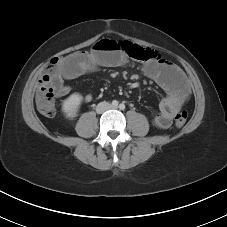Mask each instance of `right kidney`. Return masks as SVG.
<instances>
[{
	"label": "right kidney",
	"instance_id": "right-kidney-1",
	"mask_svg": "<svg viewBox=\"0 0 227 227\" xmlns=\"http://www.w3.org/2000/svg\"><path fill=\"white\" fill-rule=\"evenodd\" d=\"M82 102V96L79 93L71 94L63 101L62 111L67 118H74Z\"/></svg>",
	"mask_w": 227,
	"mask_h": 227
}]
</instances>
